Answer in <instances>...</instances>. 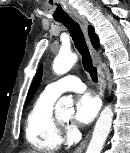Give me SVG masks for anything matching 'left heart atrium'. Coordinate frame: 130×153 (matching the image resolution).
<instances>
[{"label":"left heart atrium","mask_w":130,"mask_h":153,"mask_svg":"<svg viewBox=\"0 0 130 153\" xmlns=\"http://www.w3.org/2000/svg\"><path fill=\"white\" fill-rule=\"evenodd\" d=\"M100 101L92 93H84L78 96L75 104L74 119L82 124L90 123L98 114Z\"/></svg>","instance_id":"39dd6f15"}]
</instances>
